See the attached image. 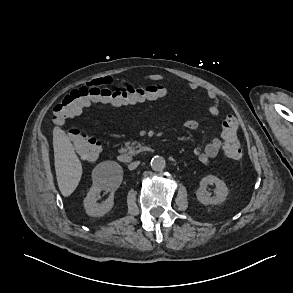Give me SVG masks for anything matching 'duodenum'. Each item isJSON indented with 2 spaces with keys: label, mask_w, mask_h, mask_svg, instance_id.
Masks as SVG:
<instances>
[{
  "label": "duodenum",
  "mask_w": 293,
  "mask_h": 293,
  "mask_svg": "<svg viewBox=\"0 0 293 293\" xmlns=\"http://www.w3.org/2000/svg\"><path fill=\"white\" fill-rule=\"evenodd\" d=\"M154 149L149 146H140L133 152H121L118 154V160L123 164H129L134 160L137 153H152Z\"/></svg>",
  "instance_id": "410a0bca"
}]
</instances>
